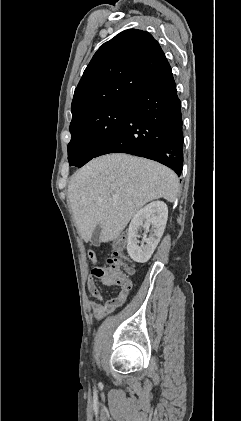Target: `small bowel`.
Wrapping results in <instances>:
<instances>
[{
	"mask_svg": "<svg viewBox=\"0 0 241 421\" xmlns=\"http://www.w3.org/2000/svg\"><path fill=\"white\" fill-rule=\"evenodd\" d=\"M88 257L91 260V262L93 264L97 263V254L95 251L93 250H89L88 251ZM102 282L105 285H113L109 282L103 281ZM86 284L88 287V290L90 292V294L96 299V301H90L88 303L89 308L91 309V311L93 312L94 316L96 319H101L103 318L105 315H107L108 313L114 311L116 308L120 307L121 305L124 304V302L126 301L129 291L131 290L132 284L130 281L127 282V284L120 286L119 291L117 292V294L109 299H105L94 278L92 276H89L86 280Z\"/></svg>",
	"mask_w": 241,
	"mask_h": 421,
	"instance_id": "1",
	"label": "small bowel"
}]
</instances>
